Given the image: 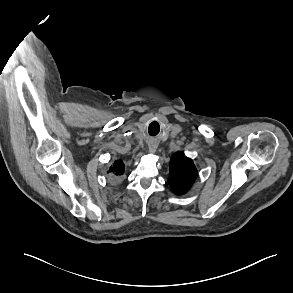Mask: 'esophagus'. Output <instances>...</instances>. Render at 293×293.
<instances>
[{"label":"esophagus","mask_w":293,"mask_h":293,"mask_svg":"<svg viewBox=\"0 0 293 293\" xmlns=\"http://www.w3.org/2000/svg\"><path fill=\"white\" fill-rule=\"evenodd\" d=\"M148 148H149L150 152L154 153L156 151L157 144L154 142H151V143H149Z\"/></svg>","instance_id":"esophagus-1"}]
</instances>
